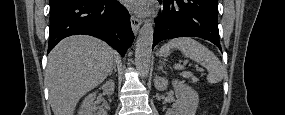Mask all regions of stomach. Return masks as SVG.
<instances>
[{
	"label": "stomach",
	"mask_w": 285,
	"mask_h": 115,
	"mask_svg": "<svg viewBox=\"0 0 285 115\" xmlns=\"http://www.w3.org/2000/svg\"><path fill=\"white\" fill-rule=\"evenodd\" d=\"M168 54H169V51H163L162 49L158 53L159 56H168Z\"/></svg>",
	"instance_id": "1"
}]
</instances>
